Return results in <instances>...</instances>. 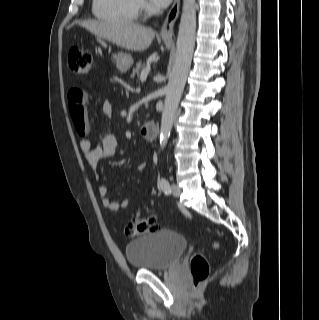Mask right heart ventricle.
I'll list each match as a JSON object with an SVG mask.
<instances>
[{
    "label": "right heart ventricle",
    "mask_w": 319,
    "mask_h": 320,
    "mask_svg": "<svg viewBox=\"0 0 319 320\" xmlns=\"http://www.w3.org/2000/svg\"><path fill=\"white\" fill-rule=\"evenodd\" d=\"M93 15L103 21L129 24L137 19V0H93Z\"/></svg>",
    "instance_id": "1"
}]
</instances>
